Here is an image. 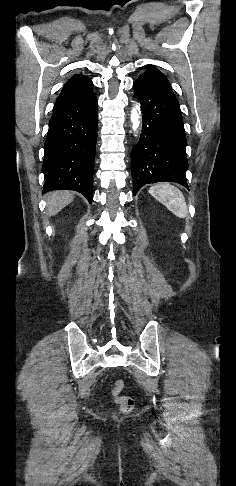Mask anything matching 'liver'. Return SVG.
<instances>
[{
  "label": "liver",
  "mask_w": 236,
  "mask_h": 486,
  "mask_svg": "<svg viewBox=\"0 0 236 486\" xmlns=\"http://www.w3.org/2000/svg\"><path fill=\"white\" fill-rule=\"evenodd\" d=\"M46 199L48 214L54 216L74 200V194L69 191H54Z\"/></svg>",
  "instance_id": "6515ba94"
}]
</instances>
